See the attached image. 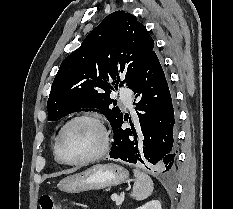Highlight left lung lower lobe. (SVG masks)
I'll use <instances>...</instances> for the list:
<instances>
[{
	"mask_svg": "<svg viewBox=\"0 0 233 209\" xmlns=\"http://www.w3.org/2000/svg\"><path fill=\"white\" fill-rule=\"evenodd\" d=\"M128 88L139 98L138 122L123 116L113 123L114 142L110 158L168 172L174 168L175 113L169 86L156 53H152L131 80ZM135 101V100H134ZM129 120L131 128H122Z\"/></svg>",
	"mask_w": 233,
	"mask_h": 209,
	"instance_id": "1",
	"label": "left lung lower lobe"
}]
</instances>
